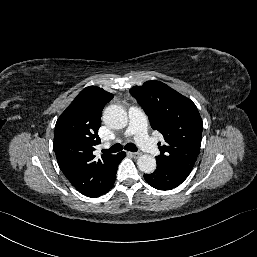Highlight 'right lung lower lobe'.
<instances>
[{"label": "right lung lower lobe", "mask_w": 257, "mask_h": 257, "mask_svg": "<svg viewBox=\"0 0 257 257\" xmlns=\"http://www.w3.org/2000/svg\"><path fill=\"white\" fill-rule=\"evenodd\" d=\"M125 156H126L125 152H120L115 156L114 161H113L112 166H111L110 171H109L107 182L105 183V185L103 186L101 191L94 197H98L100 195H103L104 193H106L107 191H109L112 188V186L115 182L118 165Z\"/></svg>", "instance_id": "right-lung-lower-lobe-1"}]
</instances>
